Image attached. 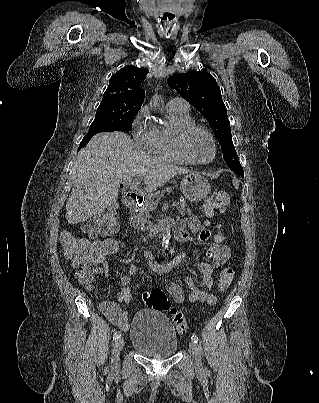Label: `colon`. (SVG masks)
<instances>
[{"label":"colon","instance_id":"colon-1","mask_svg":"<svg viewBox=\"0 0 319 403\" xmlns=\"http://www.w3.org/2000/svg\"><path fill=\"white\" fill-rule=\"evenodd\" d=\"M228 202V196L224 192H216L206 200L205 213L209 216L221 213ZM115 208H120V203H115ZM116 210L109 208L107 213L91 219L88 224L91 241H85L72 234L64 236L65 251L76 263L78 268L76 276L80 282L91 286L96 278L98 260L103 254V258H122L124 241L113 239L112 236L118 230ZM212 230H215L218 243H227L229 221H212ZM232 268H224L219 278V288L226 289L234 280ZM145 304L156 311L166 312L175 325L177 333L183 336L188 330V324L184 314L175 308L166 293L156 288L144 293Z\"/></svg>","mask_w":319,"mask_h":403}]
</instances>
